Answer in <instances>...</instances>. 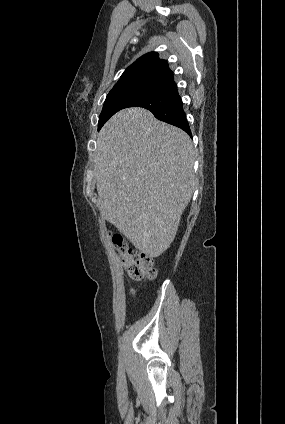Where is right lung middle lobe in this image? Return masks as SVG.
<instances>
[{"mask_svg": "<svg viewBox=\"0 0 285 424\" xmlns=\"http://www.w3.org/2000/svg\"><path fill=\"white\" fill-rule=\"evenodd\" d=\"M160 83L146 82L129 84L113 88L107 95L102 112L99 116L98 130L116 112L126 108L132 101L150 95L162 88Z\"/></svg>", "mask_w": 285, "mask_h": 424, "instance_id": "1", "label": "right lung middle lobe"}]
</instances>
